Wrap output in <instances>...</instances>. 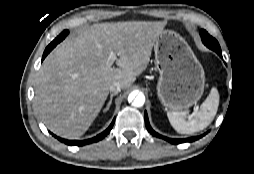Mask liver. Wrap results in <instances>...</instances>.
I'll list each match as a JSON object with an SVG mask.
<instances>
[{"label":"liver","mask_w":254,"mask_h":174,"mask_svg":"<svg viewBox=\"0 0 254 174\" xmlns=\"http://www.w3.org/2000/svg\"><path fill=\"white\" fill-rule=\"evenodd\" d=\"M165 21L94 24L59 44L36 78L34 106L46 127L67 139L82 136L101 111L114 81L126 89L148 66ZM117 55L114 68L109 54Z\"/></svg>","instance_id":"obj_1"}]
</instances>
